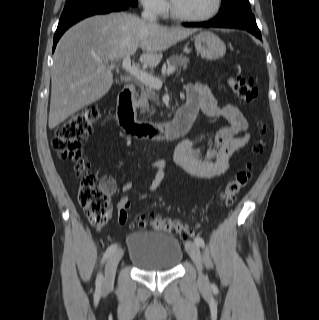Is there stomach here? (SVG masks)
I'll use <instances>...</instances> for the list:
<instances>
[{
  "label": "stomach",
  "mask_w": 319,
  "mask_h": 320,
  "mask_svg": "<svg viewBox=\"0 0 319 320\" xmlns=\"http://www.w3.org/2000/svg\"><path fill=\"white\" fill-rule=\"evenodd\" d=\"M196 51L208 60H216L226 53L224 42L211 31H202L194 37Z\"/></svg>",
  "instance_id": "obj_1"
}]
</instances>
